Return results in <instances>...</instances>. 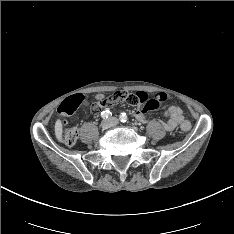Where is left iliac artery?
Masks as SVG:
<instances>
[{"instance_id": "1", "label": "left iliac artery", "mask_w": 234, "mask_h": 234, "mask_svg": "<svg viewBox=\"0 0 234 234\" xmlns=\"http://www.w3.org/2000/svg\"><path fill=\"white\" fill-rule=\"evenodd\" d=\"M121 122H126L128 120V117L125 113H122L119 117Z\"/></svg>"}]
</instances>
